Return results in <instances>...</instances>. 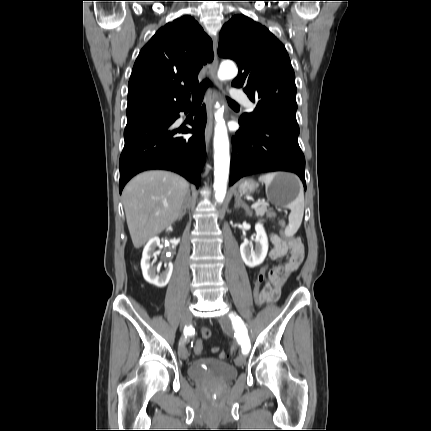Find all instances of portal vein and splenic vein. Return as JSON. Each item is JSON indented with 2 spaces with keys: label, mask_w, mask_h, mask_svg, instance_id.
<instances>
[{
  "label": "portal vein and splenic vein",
  "mask_w": 431,
  "mask_h": 431,
  "mask_svg": "<svg viewBox=\"0 0 431 431\" xmlns=\"http://www.w3.org/2000/svg\"><path fill=\"white\" fill-rule=\"evenodd\" d=\"M261 205V202L260 201H258V202H256V203H254L252 206H251V208H256V207H258V206H260Z\"/></svg>",
  "instance_id": "1"
}]
</instances>
